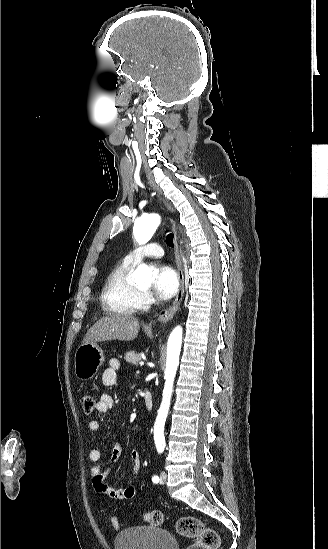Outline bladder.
Listing matches in <instances>:
<instances>
[{"label": "bladder", "instance_id": "bladder-1", "mask_svg": "<svg viewBox=\"0 0 328 549\" xmlns=\"http://www.w3.org/2000/svg\"><path fill=\"white\" fill-rule=\"evenodd\" d=\"M133 534L126 532L115 537L116 549H176L174 536L167 530L157 527L137 526Z\"/></svg>", "mask_w": 328, "mask_h": 549}]
</instances>
